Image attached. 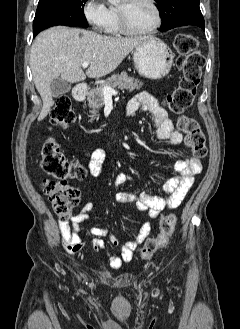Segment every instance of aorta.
I'll return each instance as SVG.
<instances>
[{"label":"aorta","instance_id":"762f6f07","mask_svg":"<svg viewBox=\"0 0 240 329\" xmlns=\"http://www.w3.org/2000/svg\"><path fill=\"white\" fill-rule=\"evenodd\" d=\"M111 4H117L119 3L121 0H108Z\"/></svg>","mask_w":240,"mask_h":329}]
</instances>
